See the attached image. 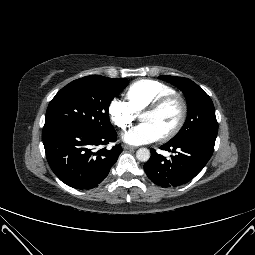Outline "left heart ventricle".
<instances>
[{
	"instance_id": "b2bd125f",
	"label": "left heart ventricle",
	"mask_w": 255,
	"mask_h": 255,
	"mask_svg": "<svg viewBox=\"0 0 255 255\" xmlns=\"http://www.w3.org/2000/svg\"><path fill=\"white\" fill-rule=\"evenodd\" d=\"M179 115L180 104L178 101H172L156 112L143 113L140 120L152 125L161 136L176 124Z\"/></svg>"
}]
</instances>
